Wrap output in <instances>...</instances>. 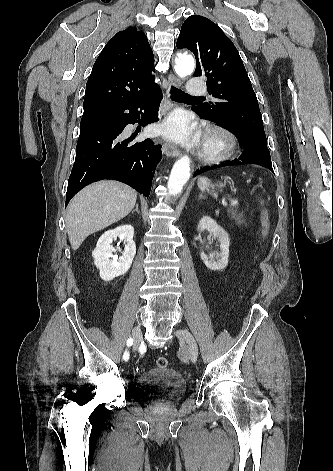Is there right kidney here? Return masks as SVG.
Masks as SVG:
<instances>
[{
	"instance_id": "obj_1",
	"label": "right kidney",
	"mask_w": 333,
	"mask_h": 471,
	"mask_svg": "<svg viewBox=\"0 0 333 471\" xmlns=\"http://www.w3.org/2000/svg\"><path fill=\"white\" fill-rule=\"evenodd\" d=\"M133 235L134 228L131 225H122L106 231L99 238L92 256L95 266L100 270V277L104 281H110L115 277L124 275L131 267L136 254ZM117 237L125 240V249L120 257L113 255L117 249L111 245Z\"/></svg>"
}]
</instances>
